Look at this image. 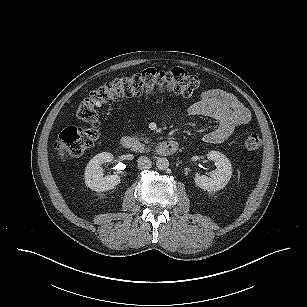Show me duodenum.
Wrapping results in <instances>:
<instances>
[{"mask_svg":"<svg viewBox=\"0 0 307 307\" xmlns=\"http://www.w3.org/2000/svg\"><path fill=\"white\" fill-rule=\"evenodd\" d=\"M121 145L125 150L140 153L143 150L141 144L130 136L121 139ZM178 150V143L174 140L162 141L156 148V154L160 156H171Z\"/></svg>","mask_w":307,"mask_h":307,"instance_id":"obj_1","label":"duodenum"}]
</instances>
